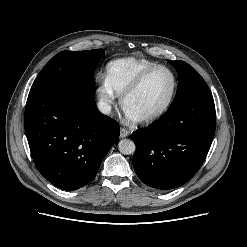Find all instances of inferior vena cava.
I'll list each match as a JSON object with an SVG mask.
<instances>
[{"mask_svg":"<svg viewBox=\"0 0 247 247\" xmlns=\"http://www.w3.org/2000/svg\"><path fill=\"white\" fill-rule=\"evenodd\" d=\"M97 106L99 111L105 115L109 114L111 111V106L104 101H99Z\"/></svg>","mask_w":247,"mask_h":247,"instance_id":"602c4592","label":"inferior vena cava"}]
</instances>
